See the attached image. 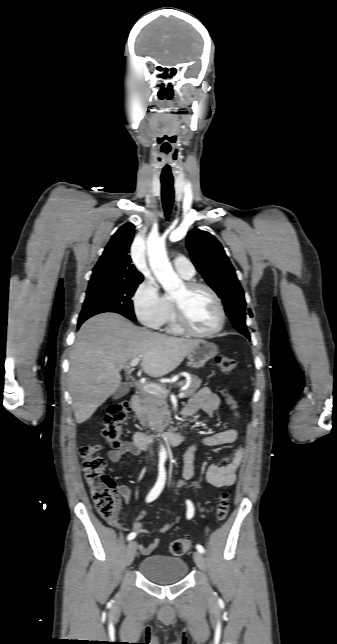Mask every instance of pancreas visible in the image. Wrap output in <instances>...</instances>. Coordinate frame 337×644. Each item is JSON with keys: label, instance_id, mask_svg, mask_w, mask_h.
I'll list each match as a JSON object with an SVG mask.
<instances>
[{"label": "pancreas", "instance_id": "1", "mask_svg": "<svg viewBox=\"0 0 337 644\" xmlns=\"http://www.w3.org/2000/svg\"><path fill=\"white\" fill-rule=\"evenodd\" d=\"M190 385L184 390L186 398L191 397L201 385V379L197 376L189 374ZM186 383L181 381L178 386H183ZM165 389V386L161 385ZM166 395L164 394H151L144 390L140 391L141 409L139 420L143 426L149 427L152 430L163 429L167 422L170 420V411L166 402Z\"/></svg>", "mask_w": 337, "mask_h": 644}]
</instances>
